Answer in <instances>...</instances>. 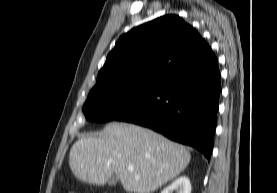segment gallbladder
<instances>
[{
	"label": "gallbladder",
	"instance_id": "obj_1",
	"mask_svg": "<svg viewBox=\"0 0 277 193\" xmlns=\"http://www.w3.org/2000/svg\"><path fill=\"white\" fill-rule=\"evenodd\" d=\"M119 182V179L116 176H112L109 180H108V185L109 186H115L117 185Z\"/></svg>",
	"mask_w": 277,
	"mask_h": 193
}]
</instances>
